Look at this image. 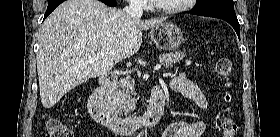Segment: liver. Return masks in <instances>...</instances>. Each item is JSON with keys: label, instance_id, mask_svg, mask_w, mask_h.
Segmentation results:
<instances>
[{"label": "liver", "instance_id": "6515ba94", "mask_svg": "<svg viewBox=\"0 0 280 137\" xmlns=\"http://www.w3.org/2000/svg\"><path fill=\"white\" fill-rule=\"evenodd\" d=\"M166 18L142 21L98 0H67L44 21L37 59L41 103L53 107L68 91L107 74L139 50L142 30ZM97 53L103 57L97 58Z\"/></svg>", "mask_w": 280, "mask_h": 137}]
</instances>
